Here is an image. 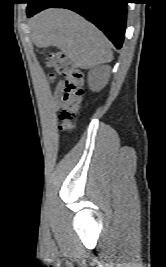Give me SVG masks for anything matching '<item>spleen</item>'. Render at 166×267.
<instances>
[{"label":"spleen","instance_id":"3e777b00","mask_svg":"<svg viewBox=\"0 0 166 267\" xmlns=\"http://www.w3.org/2000/svg\"><path fill=\"white\" fill-rule=\"evenodd\" d=\"M34 38L39 46L59 47L76 64L92 68L112 60L107 38L94 25L65 9H48L35 22Z\"/></svg>","mask_w":166,"mask_h":267}]
</instances>
